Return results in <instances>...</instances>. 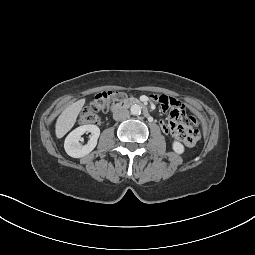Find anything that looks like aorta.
Segmentation results:
<instances>
[{
  "mask_svg": "<svg viewBox=\"0 0 255 255\" xmlns=\"http://www.w3.org/2000/svg\"><path fill=\"white\" fill-rule=\"evenodd\" d=\"M130 112H131L132 115H140L141 106L137 105V104L132 105L131 108H130Z\"/></svg>",
  "mask_w": 255,
  "mask_h": 255,
  "instance_id": "aorta-1",
  "label": "aorta"
}]
</instances>
